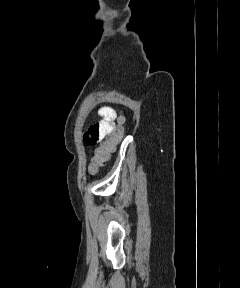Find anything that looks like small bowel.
<instances>
[{
    "label": "small bowel",
    "instance_id": "small-bowel-1",
    "mask_svg": "<svg viewBox=\"0 0 240 288\" xmlns=\"http://www.w3.org/2000/svg\"><path fill=\"white\" fill-rule=\"evenodd\" d=\"M98 114L100 116V120L90 126L83 134V142L88 146H93L101 142L116 128V113L112 108L102 107L99 109Z\"/></svg>",
    "mask_w": 240,
    "mask_h": 288
}]
</instances>
